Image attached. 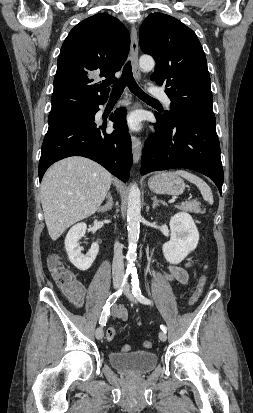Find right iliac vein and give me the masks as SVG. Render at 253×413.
Listing matches in <instances>:
<instances>
[{
    "label": "right iliac vein",
    "instance_id": "1",
    "mask_svg": "<svg viewBox=\"0 0 253 413\" xmlns=\"http://www.w3.org/2000/svg\"><path fill=\"white\" fill-rule=\"evenodd\" d=\"M120 285H121V281L119 279L114 280L113 286H114L115 289H118L120 287ZM95 336L98 340H101L103 338L104 332H103V329L101 327H98L96 329Z\"/></svg>",
    "mask_w": 253,
    "mask_h": 413
}]
</instances>
